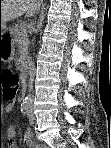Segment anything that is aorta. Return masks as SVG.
Listing matches in <instances>:
<instances>
[{
    "instance_id": "obj_1",
    "label": "aorta",
    "mask_w": 111,
    "mask_h": 148,
    "mask_svg": "<svg viewBox=\"0 0 111 148\" xmlns=\"http://www.w3.org/2000/svg\"><path fill=\"white\" fill-rule=\"evenodd\" d=\"M30 101H31L30 96H28V97L25 98V103H29Z\"/></svg>"
}]
</instances>
